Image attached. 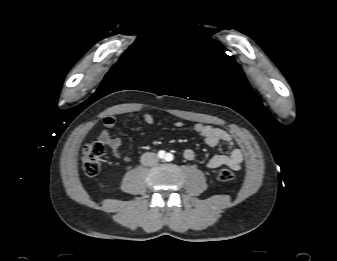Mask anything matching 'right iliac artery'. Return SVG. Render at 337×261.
<instances>
[{
	"label": "right iliac artery",
	"instance_id": "1",
	"mask_svg": "<svg viewBox=\"0 0 337 261\" xmlns=\"http://www.w3.org/2000/svg\"><path fill=\"white\" fill-rule=\"evenodd\" d=\"M158 156L160 158H164L165 157V152L164 151H159Z\"/></svg>",
	"mask_w": 337,
	"mask_h": 261
}]
</instances>
